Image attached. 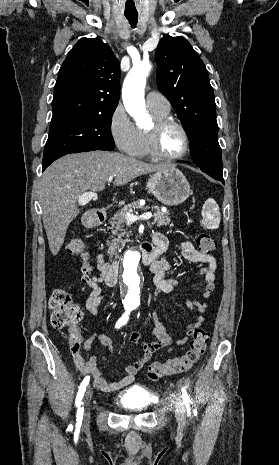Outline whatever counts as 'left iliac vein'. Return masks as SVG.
Wrapping results in <instances>:
<instances>
[{
	"label": "left iliac vein",
	"mask_w": 279,
	"mask_h": 465,
	"mask_svg": "<svg viewBox=\"0 0 279 465\" xmlns=\"http://www.w3.org/2000/svg\"><path fill=\"white\" fill-rule=\"evenodd\" d=\"M175 415H176L177 421L180 424L185 423V410H184V406L180 398H177L176 400Z\"/></svg>",
	"instance_id": "4c4485c4"
}]
</instances>
